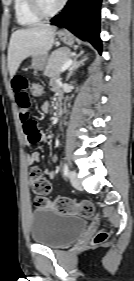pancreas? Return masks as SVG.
Segmentation results:
<instances>
[{
  "label": "pancreas",
  "mask_w": 134,
  "mask_h": 281,
  "mask_svg": "<svg viewBox=\"0 0 134 281\" xmlns=\"http://www.w3.org/2000/svg\"><path fill=\"white\" fill-rule=\"evenodd\" d=\"M71 51L66 47L59 48L49 56L44 75L50 78L57 77L60 74V68L70 59Z\"/></svg>",
  "instance_id": "1"
}]
</instances>
